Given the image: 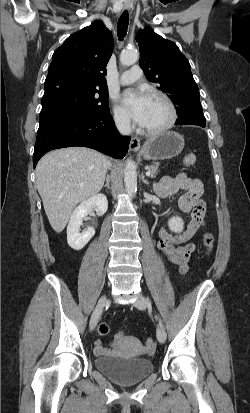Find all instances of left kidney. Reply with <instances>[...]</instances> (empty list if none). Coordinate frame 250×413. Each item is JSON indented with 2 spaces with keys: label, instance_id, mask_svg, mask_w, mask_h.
<instances>
[{
  "label": "left kidney",
  "instance_id": "5707ae66",
  "mask_svg": "<svg viewBox=\"0 0 250 413\" xmlns=\"http://www.w3.org/2000/svg\"><path fill=\"white\" fill-rule=\"evenodd\" d=\"M168 226L171 231L180 233L184 229V222L180 217L176 216L169 219Z\"/></svg>",
  "mask_w": 250,
  "mask_h": 413
}]
</instances>
